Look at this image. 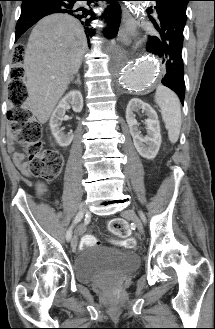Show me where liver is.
<instances>
[{
  "instance_id": "obj_1",
  "label": "liver",
  "mask_w": 215,
  "mask_h": 329,
  "mask_svg": "<svg viewBox=\"0 0 215 329\" xmlns=\"http://www.w3.org/2000/svg\"><path fill=\"white\" fill-rule=\"evenodd\" d=\"M87 49L81 23L67 14H53L33 28L24 57L28 103L40 123L49 119L78 72Z\"/></svg>"
}]
</instances>
